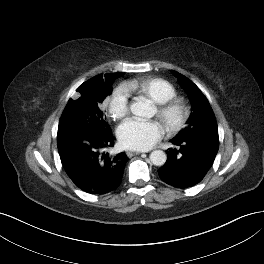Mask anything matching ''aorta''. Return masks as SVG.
I'll list each match as a JSON object with an SVG mask.
<instances>
[{
  "label": "aorta",
  "instance_id": "1",
  "mask_svg": "<svg viewBox=\"0 0 264 264\" xmlns=\"http://www.w3.org/2000/svg\"><path fill=\"white\" fill-rule=\"evenodd\" d=\"M130 110L132 114L139 117H151L153 115V109L150 106V104L143 101H137L132 103L130 105ZM166 160H167V156L165 152H163L162 150H155L150 154V161L155 166L164 165Z\"/></svg>",
  "mask_w": 264,
  "mask_h": 264
}]
</instances>
